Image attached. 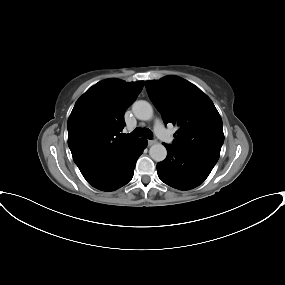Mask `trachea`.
I'll return each instance as SVG.
<instances>
[{
  "label": "trachea",
  "mask_w": 285,
  "mask_h": 285,
  "mask_svg": "<svg viewBox=\"0 0 285 285\" xmlns=\"http://www.w3.org/2000/svg\"><path fill=\"white\" fill-rule=\"evenodd\" d=\"M144 136L147 139H152L153 137V133L150 129H145V128H141V127H137L132 134L130 135H125V137H141Z\"/></svg>",
  "instance_id": "3493384b"
}]
</instances>
